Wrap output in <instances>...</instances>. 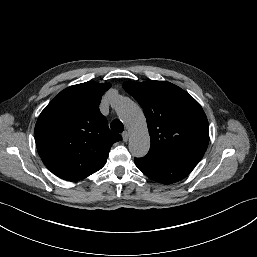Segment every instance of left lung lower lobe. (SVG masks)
<instances>
[{"instance_id":"0a47b994","label":"left lung lower lobe","mask_w":257,"mask_h":257,"mask_svg":"<svg viewBox=\"0 0 257 257\" xmlns=\"http://www.w3.org/2000/svg\"><path fill=\"white\" fill-rule=\"evenodd\" d=\"M138 169L156 182L171 184L186 177L197 163L162 164L135 158Z\"/></svg>"}]
</instances>
